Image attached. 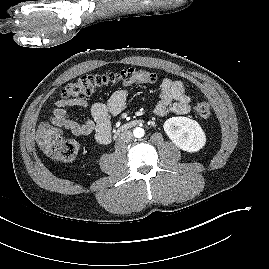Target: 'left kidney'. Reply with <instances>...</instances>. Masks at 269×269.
I'll return each mask as SVG.
<instances>
[{
  "mask_svg": "<svg viewBox=\"0 0 269 269\" xmlns=\"http://www.w3.org/2000/svg\"><path fill=\"white\" fill-rule=\"evenodd\" d=\"M164 131L180 149L197 152L205 146L206 135L197 121L187 117H172L165 121Z\"/></svg>",
  "mask_w": 269,
  "mask_h": 269,
  "instance_id": "obj_1",
  "label": "left kidney"
}]
</instances>
